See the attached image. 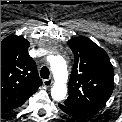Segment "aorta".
<instances>
[{
	"label": "aorta",
	"mask_w": 122,
	"mask_h": 122,
	"mask_svg": "<svg viewBox=\"0 0 122 122\" xmlns=\"http://www.w3.org/2000/svg\"><path fill=\"white\" fill-rule=\"evenodd\" d=\"M50 65L55 79L54 85L51 89V96L55 101H62L65 99L67 94V64L65 59L58 55L53 58Z\"/></svg>",
	"instance_id": "762f6f07"
}]
</instances>
